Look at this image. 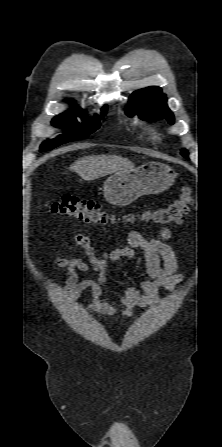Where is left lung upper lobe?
Here are the masks:
<instances>
[{"label":"left lung upper lobe","mask_w":222,"mask_h":447,"mask_svg":"<svg viewBox=\"0 0 222 447\" xmlns=\"http://www.w3.org/2000/svg\"><path fill=\"white\" fill-rule=\"evenodd\" d=\"M126 113L128 116L138 115L141 119L148 121L166 118L171 125L174 123V116L167 106L166 96L157 86L133 92L129 97ZM181 154L188 158L186 149H182Z\"/></svg>","instance_id":"5c2ea615"}]
</instances>
